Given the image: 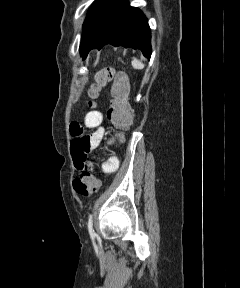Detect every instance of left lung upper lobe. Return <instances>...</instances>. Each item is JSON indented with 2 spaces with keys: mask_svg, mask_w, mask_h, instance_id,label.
<instances>
[{
  "mask_svg": "<svg viewBox=\"0 0 240 288\" xmlns=\"http://www.w3.org/2000/svg\"><path fill=\"white\" fill-rule=\"evenodd\" d=\"M110 0H96L89 9L83 24V33L80 49L84 46L100 19L104 15Z\"/></svg>",
  "mask_w": 240,
  "mask_h": 288,
  "instance_id": "left-lung-upper-lobe-1",
  "label": "left lung upper lobe"
}]
</instances>
